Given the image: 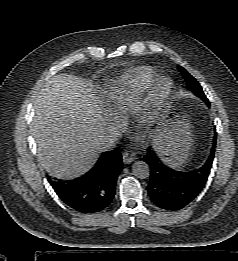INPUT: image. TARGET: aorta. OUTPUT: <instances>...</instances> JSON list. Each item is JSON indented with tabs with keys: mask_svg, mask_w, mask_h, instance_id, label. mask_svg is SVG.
Wrapping results in <instances>:
<instances>
[{
	"mask_svg": "<svg viewBox=\"0 0 238 261\" xmlns=\"http://www.w3.org/2000/svg\"><path fill=\"white\" fill-rule=\"evenodd\" d=\"M132 172L137 178L146 179L150 174L149 165L144 161H136L132 166Z\"/></svg>",
	"mask_w": 238,
	"mask_h": 261,
	"instance_id": "1",
	"label": "aorta"
}]
</instances>
